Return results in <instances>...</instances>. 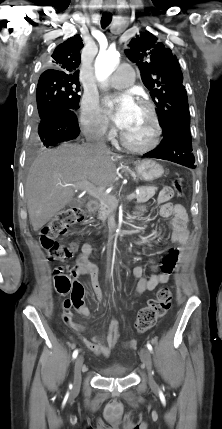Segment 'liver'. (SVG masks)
Segmentation results:
<instances>
[{
    "label": "liver",
    "instance_id": "6515ba94",
    "mask_svg": "<svg viewBox=\"0 0 222 429\" xmlns=\"http://www.w3.org/2000/svg\"><path fill=\"white\" fill-rule=\"evenodd\" d=\"M122 157L87 145L62 146L42 151L32 163L25 186L28 214L34 231L42 228L74 196V187L88 181L105 189L117 180L116 164Z\"/></svg>",
    "mask_w": 222,
    "mask_h": 429
}]
</instances>
